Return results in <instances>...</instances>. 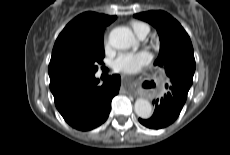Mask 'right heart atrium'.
<instances>
[{
	"mask_svg": "<svg viewBox=\"0 0 230 155\" xmlns=\"http://www.w3.org/2000/svg\"><path fill=\"white\" fill-rule=\"evenodd\" d=\"M107 43H108V40L106 39V40H105V44H107Z\"/></svg>",
	"mask_w": 230,
	"mask_h": 155,
	"instance_id": "obj_1",
	"label": "right heart atrium"
}]
</instances>
